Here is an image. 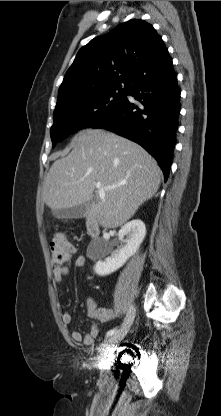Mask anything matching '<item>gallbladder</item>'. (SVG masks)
Instances as JSON below:
<instances>
[{"instance_id":"1","label":"gallbladder","mask_w":221,"mask_h":416,"mask_svg":"<svg viewBox=\"0 0 221 416\" xmlns=\"http://www.w3.org/2000/svg\"><path fill=\"white\" fill-rule=\"evenodd\" d=\"M92 201H94V198L90 200L89 202L79 204L70 208L56 209L53 211V215L57 219L82 218L85 215Z\"/></svg>"}]
</instances>
